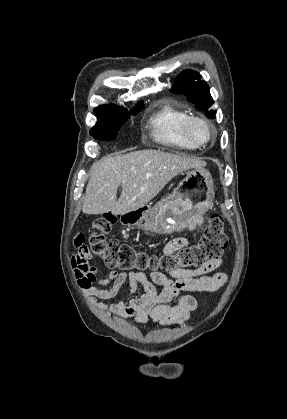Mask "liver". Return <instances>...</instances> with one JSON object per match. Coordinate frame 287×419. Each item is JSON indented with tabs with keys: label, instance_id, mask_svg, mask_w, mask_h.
<instances>
[{
	"label": "liver",
	"instance_id": "1",
	"mask_svg": "<svg viewBox=\"0 0 287 419\" xmlns=\"http://www.w3.org/2000/svg\"><path fill=\"white\" fill-rule=\"evenodd\" d=\"M205 165L199 158L155 149L108 155L93 166L82 211L89 215H119L141 208L178 174ZM120 185L122 192L117 199Z\"/></svg>",
	"mask_w": 287,
	"mask_h": 419
}]
</instances>
